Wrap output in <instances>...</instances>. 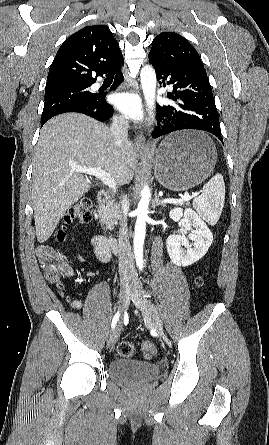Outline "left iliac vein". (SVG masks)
<instances>
[{"label":"left iliac vein","mask_w":269,"mask_h":445,"mask_svg":"<svg viewBox=\"0 0 269 445\" xmlns=\"http://www.w3.org/2000/svg\"><path fill=\"white\" fill-rule=\"evenodd\" d=\"M141 293L140 289L134 292L132 295L133 303L142 312L145 324L152 326L160 336H163V324L155 306L149 299L140 297Z\"/></svg>","instance_id":"4c4485c4"}]
</instances>
